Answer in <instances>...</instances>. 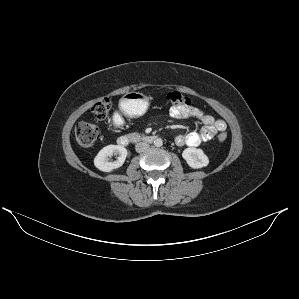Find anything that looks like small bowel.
Masks as SVG:
<instances>
[{
    "label": "small bowel",
    "mask_w": 299,
    "mask_h": 299,
    "mask_svg": "<svg viewBox=\"0 0 299 299\" xmlns=\"http://www.w3.org/2000/svg\"><path fill=\"white\" fill-rule=\"evenodd\" d=\"M169 114L176 119L195 118L203 125L200 131L177 136L175 142L178 146H199L201 143L212 139L218 132H224L227 127L224 120H215L211 115L190 105L171 107Z\"/></svg>",
    "instance_id": "obj_1"
}]
</instances>
